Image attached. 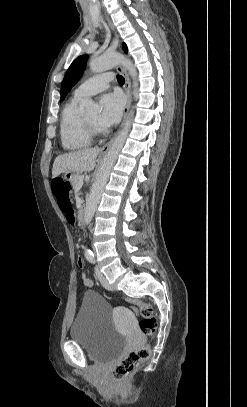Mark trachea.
<instances>
[{
    "label": "trachea",
    "instance_id": "trachea-1",
    "mask_svg": "<svg viewBox=\"0 0 247 407\" xmlns=\"http://www.w3.org/2000/svg\"><path fill=\"white\" fill-rule=\"evenodd\" d=\"M117 81H118L120 84H124L125 79H124V77H123V76H121V75H117Z\"/></svg>",
    "mask_w": 247,
    "mask_h": 407
}]
</instances>
